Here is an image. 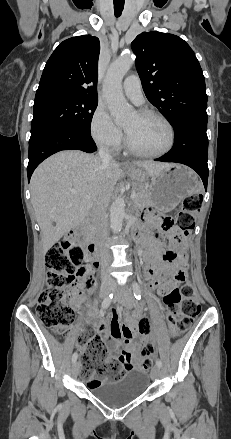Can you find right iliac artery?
Segmentation results:
<instances>
[{
	"label": "right iliac artery",
	"instance_id": "82829eb1",
	"mask_svg": "<svg viewBox=\"0 0 231 439\" xmlns=\"http://www.w3.org/2000/svg\"><path fill=\"white\" fill-rule=\"evenodd\" d=\"M113 298V294H110L108 297H106L103 302H102V309H106L110 304H111V300ZM78 358V354L75 352L72 355V362L74 363Z\"/></svg>",
	"mask_w": 231,
	"mask_h": 439
}]
</instances>
